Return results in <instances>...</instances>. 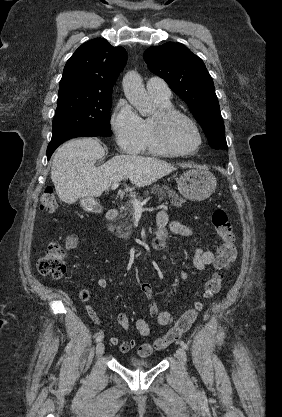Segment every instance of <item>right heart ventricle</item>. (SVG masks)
Returning a JSON list of instances; mask_svg holds the SVG:
<instances>
[{"mask_svg":"<svg viewBox=\"0 0 282 417\" xmlns=\"http://www.w3.org/2000/svg\"><path fill=\"white\" fill-rule=\"evenodd\" d=\"M154 101L159 108H163V109L171 108V104L169 101H160V100H155V99ZM143 124H144V131H145V142H144L143 150L158 153V154H169L170 152H168L159 143L151 125V118L143 119Z\"/></svg>","mask_w":282,"mask_h":417,"instance_id":"right-heart-ventricle-1","label":"right heart ventricle"}]
</instances>
